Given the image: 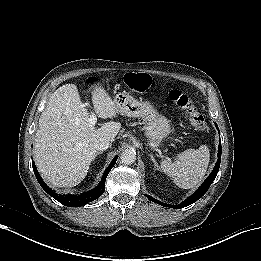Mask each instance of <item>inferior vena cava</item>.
Segmentation results:
<instances>
[{
  "label": "inferior vena cava",
  "instance_id": "602c4592",
  "mask_svg": "<svg viewBox=\"0 0 261 261\" xmlns=\"http://www.w3.org/2000/svg\"><path fill=\"white\" fill-rule=\"evenodd\" d=\"M110 147V140L107 138H100L95 143V149L97 151H104Z\"/></svg>",
  "mask_w": 261,
  "mask_h": 261
}]
</instances>
